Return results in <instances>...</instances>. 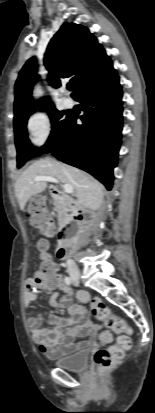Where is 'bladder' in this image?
I'll return each mask as SVG.
<instances>
[{"label": "bladder", "mask_w": 155, "mask_h": 413, "mask_svg": "<svg viewBox=\"0 0 155 413\" xmlns=\"http://www.w3.org/2000/svg\"><path fill=\"white\" fill-rule=\"evenodd\" d=\"M89 360V350L79 351L75 354L61 357L55 360V366L71 371L82 372L86 369Z\"/></svg>", "instance_id": "obj_1"}]
</instances>
